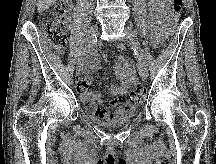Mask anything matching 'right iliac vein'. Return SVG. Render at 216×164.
Wrapping results in <instances>:
<instances>
[{"mask_svg": "<svg viewBox=\"0 0 216 164\" xmlns=\"http://www.w3.org/2000/svg\"><path fill=\"white\" fill-rule=\"evenodd\" d=\"M97 31H98L97 25H94L91 27L89 34H88V37H87V44L88 45L91 44L93 42V40L95 39ZM79 59H78V63H77V71H76L77 75L81 74V71L83 69V63H84V60L81 62Z\"/></svg>", "mask_w": 216, "mask_h": 164, "instance_id": "1", "label": "right iliac vein"}]
</instances>
